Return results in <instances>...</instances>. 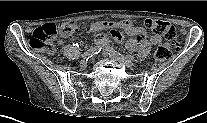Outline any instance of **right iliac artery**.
<instances>
[{
	"mask_svg": "<svg viewBox=\"0 0 207 123\" xmlns=\"http://www.w3.org/2000/svg\"><path fill=\"white\" fill-rule=\"evenodd\" d=\"M102 50L101 46H95L90 48L89 50H87L82 57L86 60H88L90 57H92L93 55H96L98 53H100V51Z\"/></svg>",
	"mask_w": 207,
	"mask_h": 123,
	"instance_id": "82829eb1",
	"label": "right iliac artery"
}]
</instances>
